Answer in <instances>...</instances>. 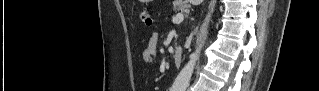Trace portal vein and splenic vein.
Instances as JSON below:
<instances>
[{"mask_svg": "<svg viewBox=\"0 0 319 91\" xmlns=\"http://www.w3.org/2000/svg\"><path fill=\"white\" fill-rule=\"evenodd\" d=\"M183 20H184V15H183L182 13H178V14H176V15L173 17L172 22L179 24V23H181Z\"/></svg>", "mask_w": 319, "mask_h": 91, "instance_id": "portal-vein-and-splenic-vein-1", "label": "portal vein and splenic vein"}]
</instances>
